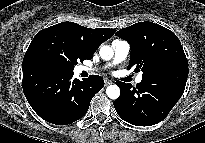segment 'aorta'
<instances>
[{
	"mask_svg": "<svg viewBox=\"0 0 205 143\" xmlns=\"http://www.w3.org/2000/svg\"><path fill=\"white\" fill-rule=\"evenodd\" d=\"M99 54L103 60H110L114 56V51L110 46L104 45L100 48ZM106 94L110 99L116 100L120 96V89L117 85H109Z\"/></svg>",
	"mask_w": 205,
	"mask_h": 143,
	"instance_id": "obj_1",
	"label": "aorta"
}]
</instances>
